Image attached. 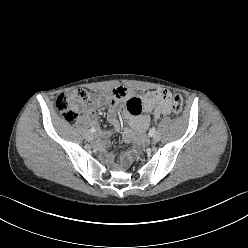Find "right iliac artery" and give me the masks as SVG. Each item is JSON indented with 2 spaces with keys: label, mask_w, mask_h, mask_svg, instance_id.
Instances as JSON below:
<instances>
[{
  "label": "right iliac artery",
  "mask_w": 248,
  "mask_h": 248,
  "mask_svg": "<svg viewBox=\"0 0 248 248\" xmlns=\"http://www.w3.org/2000/svg\"><path fill=\"white\" fill-rule=\"evenodd\" d=\"M90 132H92V133L95 132V129L94 128H91L90 129Z\"/></svg>",
  "instance_id": "right-iliac-artery-1"
}]
</instances>
